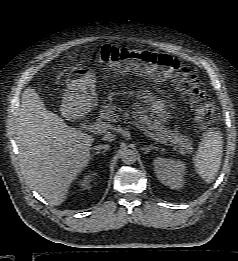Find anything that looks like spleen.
<instances>
[{
    "label": "spleen",
    "mask_w": 238,
    "mask_h": 261,
    "mask_svg": "<svg viewBox=\"0 0 238 261\" xmlns=\"http://www.w3.org/2000/svg\"><path fill=\"white\" fill-rule=\"evenodd\" d=\"M223 152V137L219 130H209L201 139L194 157L197 174L208 184L219 171Z\"/></svg>",
    "instance_id": "obj_1"
}]
</instances>
